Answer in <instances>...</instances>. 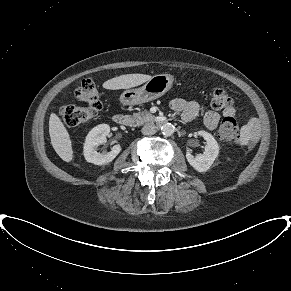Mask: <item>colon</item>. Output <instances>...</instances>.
Returning a JSON list of instances; mask_svg holds the SVG:
<instances>
[{"instance_id": "1", "label": "colon", "mask_w": 291, "mask_h": 291, "mask_svg": "<svg viewBox=\"0 0 291 291\" xmlns=\"http://www.w3.org/2000/svg\"><path fill=\"white\" fill-rule=\"evenodd\" d=\"M75 98L79 105H67L60 109V115L64 123L74 127L91 120L101 109L98 89L93 79H83L75 90ZM231 104V98L223 87L214 89L211 98V106L216 110L225 109ZM219 136L226 141L239 145L241 143L240 131L233 116H226L219 127ZM251 146H247L250 150Z\"/></svg>"}]
</instances>
